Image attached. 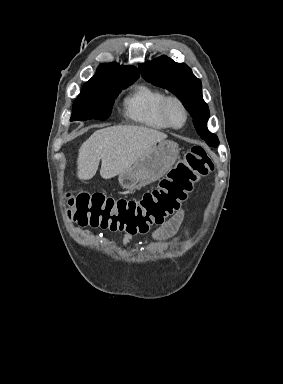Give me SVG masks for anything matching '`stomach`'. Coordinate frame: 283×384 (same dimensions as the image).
I'll return each instance as SVG.
<instances>
[{
    "label": "stomach",
    "mask_w": 283,
    "mask_h": 384,
    "mask_svg": "<svg viewBox=\"0 0 283 384\" xmlns=\"http://www.w3.org/2000/svg\"><path fill=\"white\" fill-rule=\"evenodd\" d=\"M178 156L179 148L175 142H156L145 150L132 168H127L119 174V184L125 190H140L148 184H153L174 166Z\"/></svg>",
    "instance_id": "0dacf381"
}]
</instances>
